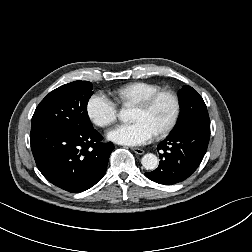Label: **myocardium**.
Instances as JSON below:
<instances>
[{"label": "myocardium", "instance_id": "obj_1", "mask_svg": "<svg viewBox=\"0 0 252 252\" xmlns=\"http://www.w3.org/2000/svg\"><path fill=\"white\" fill-rule=\"evenodd\" d=\"M164 95H167L172 99L173 113H172L171 119L167 123V125L155 133V135L157 137L167 136L175 128V126L178 122L180 112H181V103H180V99H179V96L177 95V93H175L172 90H168V89H160V90L152 93L151 95L146 97L144 100H142L141 102H139L135 105V107H137L141 110H149L154 105V103L161 96H164Z\"/></svg>", "mask_w": 252, "mask_h": 252}]
</instances>
